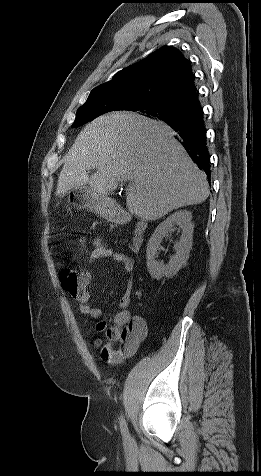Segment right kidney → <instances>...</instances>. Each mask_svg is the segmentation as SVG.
Wrapping results in <instances>:
<instances>
[{
    "instance_id": "ca27d5eb",
    "label": "right kidney",
    "mask_w": 261,
    "mask_h": 476,
    "mask_svg": "<svg viewBox=\"0 0 261 476\" xmlns=\"http://www.w3.org/2000/svg\"><path fill=\"white\" fill-rule=\"evenodd\" d=\"M192 214L187 210H180L160 223L152 234L147 244L146 258L148 272L154 279L162 277H172L177 274L181 267L186 263L192 248L193 225ZM174 225H179L182 230L180 240L175 243L176 254L172 256L168 264L156 260L157 251L160 249V243L165 236L174 231Z\"/></svg>"
}]
</instances>
